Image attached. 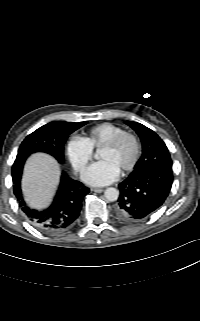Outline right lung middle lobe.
Masks as SVG:
<instances>
[{
    "label": "right lung middle lobe",
    "instance_id": "1",
    "mask_svg": "<svg viewBox=\"0 0 200 321\" xmlns=\"http://www.w3.org/2000/svg\"><path fill=\"white\" fill-rule=\"evenodd\" d=\"M86 122H50L29 134L19 147L17 158L28 157L34 152H45L64 163V144L68 136Z\"/></svg>",
    "mask_w": 200,
    "mask_h": 321
}]
</instances>
